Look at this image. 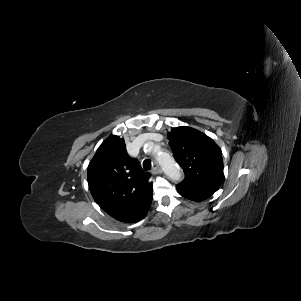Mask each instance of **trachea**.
<instances>
[{
    "label": "trachea",
    "instance_id": "1",
    "mask_svg": "<svg viewBox=\"0 0 301 301\" xmlns=\"http://www.w3.org/2000/svg\"><path fill=\"white\" fill-rule=\"evenodd\" d=\"M151 167H152V165H151V161L150 160H144L143 161V168H144L145 171L150 170Z\"/></svg>",
    "mask_w": 301,
    "mask_h": 301
}]
</instances>
